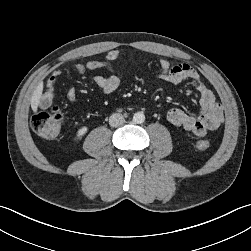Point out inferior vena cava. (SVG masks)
Segmentation results:
<instances>
[{"label":"inferior vena cava","mask_w":251,"mask_h":251,"mask_svg":"<svg viewBox=\"0 0 251 251\" xmlns=\"http://www.w3.org/2000/svg\"><path fill=\"white\" fill-rule=\"evenodd\" d=\"M124 117L122 114L120 113H115V114H112L109 118V124L112 126V127H117V126H120L121 124L124 123Z\"/></svg>","instance_id":"602c4592"}]
</instances>
